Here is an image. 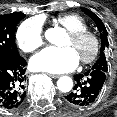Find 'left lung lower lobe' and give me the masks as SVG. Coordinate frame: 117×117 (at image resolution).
Segmentation results:
<instances>
[{
    "label": "left lung lower lobe",
    "instance_id": "1",
    "mask_svg": "<svg viewBox=\"0 0 117 117\" xmlns=\"http://www.w3.org/2000/svg\"><path fill=\"white\" fill-rule=\"evenodd\" d=\"M106 77V72L93 69L74 76L77 83L73 91L65 97L67 103L73 106L93 104L106 83Z\"/></svg>",
    "mask_w": 117,
    "mask_h": 117
}]
</instances>
